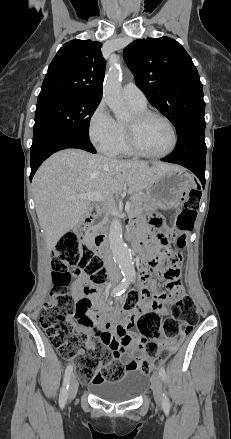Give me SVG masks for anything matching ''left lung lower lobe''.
Segmentation results:
<instances>
[{
  "instance_id": "obj_1",
  "label": "left lung lower lobe",
  "mask_w": 231,
  "mask_h": 439,
  "mask_svg": "<svg viewBox=\"0 0 231 439\" xmlns=\"http://www.w3.org/2000/svg\"><path fill=\"white\" fill-rule=\"evenodd\" d=\"M205 122L186 126L178 135L175 150L162 161L180 164L191 170L205 186Z\"/></svg>"
}]
</instances>
